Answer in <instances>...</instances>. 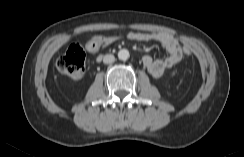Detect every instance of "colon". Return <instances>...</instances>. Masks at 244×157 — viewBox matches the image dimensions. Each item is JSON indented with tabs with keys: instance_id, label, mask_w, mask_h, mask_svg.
<instances>
[{
	"instance_id": "5ec220e1",
	"label": "colon",
	"mask_w": 244,
	"mask_h": 157,
	"mask_svg": "<svg viewBox=\"0 0 244 157\" xmlns=\"http://www.w3.org/2000/svg\"><path fill=\"white\" fill-rule=\"evenodd\" d=\"M117 40L116 36H94L88 40L85 48L89 51H98ZM183 53L190 57L192 52L189 47H184ZM86 54L83 47L79 44L71 45L66 53L56 61L57 71L73 80H80L85 74Z\"/></svg>"
}]
</instances>
